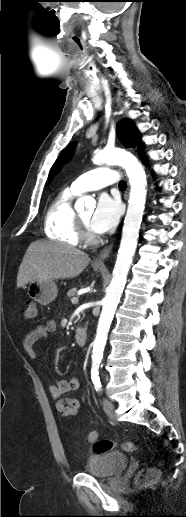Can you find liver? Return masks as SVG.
Wrapping results in <instances>:
<instances>
[{
  "label": "liver",
  "instance_id": "1",
  "mask_svg": "<svg viewBox=\"0 0 186 517\" xmlns=\"http://www.w3.org/2000/svg\"><path fill=\"white\" fill-rule=\"evenodd\" d=\"M90 257L72 246L35 241L28 247L17 274V287L30 282L77 277L89 264Z\"/></svg>",
  "mask_w": 186,
  "mask_h": 517
}]
</instances>
